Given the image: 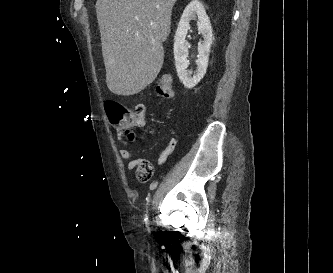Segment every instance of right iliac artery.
<instances>
[{"mask_svg": "<svg viewBox=\"0 0 333 273\" xmlns=\"http://www.w3.org/2000/svg\"><path fill=\"white\" fill-rule=\"evenodd\" d=\"M147 220H148V218H147V216H146L145 221H147Z\"/></svg>", "mask_w": 333, "mask_h": 273, "instance_id": "1", "label": "right iliac artery"}]
</instances>
